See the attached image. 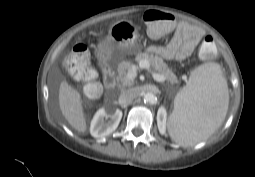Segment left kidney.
<instances>
[{"mask_svg": "<svg viewBox=\"0 0 255 177\" xmlns=\"http://www.w3.org/2000/svg\"><path fill=\"white\" fill-rule=\"evenodd\" d=\"M166 110L164 107L159 108L158 113H157V123L158 127H160L162 130H164L165 125H166Z\"/></svg>", "mask_w": 255, "mask_h": 177, "instance_id": "5707ae66", "label": "left kidney"}]
</instances>
